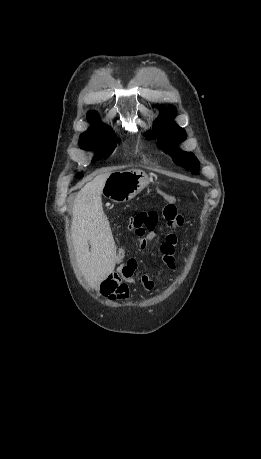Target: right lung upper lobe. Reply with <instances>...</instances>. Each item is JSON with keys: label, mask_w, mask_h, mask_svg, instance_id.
<instances>
[{"label": "right lung upper lobe", "mask_w": 261, "mask_h": 459, "mask_svg": "<svg viewBox=\"0 0 261 459\" xmlns=\"http://www.w3.org/2000/svg\"><path fill=\"white\" fill-rule=\"evenodd\" d=\"M88 120L93 124L92 127L88 129L87 132L83 133H94V132H101V131H106L108 130L107 126L105 124H102L99 122L98 115L95 112H89L88 113Z\"/></svg>", "instance_id": "cb5924a9"}]
</instances>
